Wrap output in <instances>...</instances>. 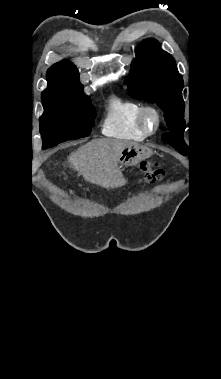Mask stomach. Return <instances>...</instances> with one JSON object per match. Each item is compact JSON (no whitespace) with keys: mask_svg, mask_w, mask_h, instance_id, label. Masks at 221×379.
I'll return each mask as SVG.
<instances>
[{"mask_svg":"<svg viewBox=\"0 0 221 379\" xmlns=\"http://www.w3.org/2000/svg\"><path fill=\"white\" fill-rule=\"evenodd\" d=\"M151 155V151L140 145H132L126 147L119 157V164L121 168L134 166L141 162L142 160H145Z\"/></svg>","mask_w":221,"mask_h":379,"instance_id":"0dacf381","label":"stomach"}]
</instances>
